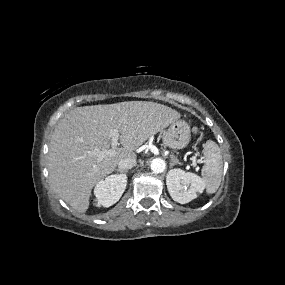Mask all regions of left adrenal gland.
<instances>
[{
    "mask_svg": "<svg viewBox=\"0 0 285 285\" xmlns=\"http://www.w3.org/2000/svg\"><path fill=\"white\" fill-rule=\"evenodd\" d=\"M171 162H170V167L176 165V164H179L181 165V163L179 162V160L174 156V155H171Z\"/></svg>",
    "mask_w": 285,
    "mask_h": 285,
    "instance_id": "a2214340",
    "label": "left adrenal gland"
}]
</instances>
